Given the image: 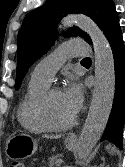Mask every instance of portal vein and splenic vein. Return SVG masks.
<instances>
[{
  "instance_id": "1",
  "label": "portal vein and splenic vein",
  "mask_w": 125,
  "mask_h": 167,
  "mask_svg": "<svg viewBox=\"0 0 125 167\" xmlns=\"http://www.w3.org/2000/svg\"><path fill=\"white\" fill-rule=\"evenodd\" d=\"M57 162H58L59 164H61V163H63V160L60 159V160H58ZM67 167H69V166H67Z\"/></svg>"
}]
</instances>
